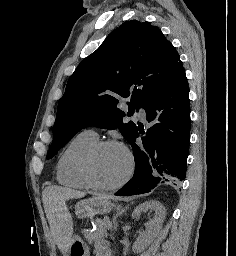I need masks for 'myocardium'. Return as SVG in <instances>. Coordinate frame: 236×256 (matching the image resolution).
Returning a JSON list of instances; mask_svg holds the SVG:
<instances>
[{
    "label": "myocardium",
    "instance_id": "obj_1",
    "mask_svg": "<svg viewBox=\"0 0 236 256\" xmlns=\"http://www.w3.org/2000/svg\"><path fill=\"white\" fill-rule=\"evenodd\" d=\"M109 147H119L120 149H122V151L125 153L127 157V163H128L127 171L123 176V178L116 184L111 186H101L94 179L93 163L96 156L99 155L104 149ZM133 172H134V158L131 151L124 144L114 140L98 142L86 155L83 162V168H82V174H83L85 183L90 189L98 193H111L122 188L125 184L129 182V180L133 175Z\"/></svg>",
    "mask_w": 236,
    "mask_h": 256
}]
</instances>
